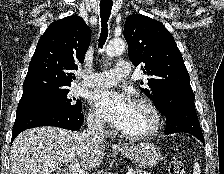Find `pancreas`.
Wrapping results in <instances>:
<instances>
[{"label":"pancreas","mask_w":224,"mask_h":174,"mask_svg":"<svg viewBox=\"0 0 224 174\" xmlns=\"http://www.w3.org/2000/svg\"><path fill=\"white\" fill-rule=\"evenodd\" d=\"M134 172H135V174H151V173H148L146 171H142L140 169H136V170H134Z\"/></svg>","instance_id":"cf45deb5"}]
</instances>
